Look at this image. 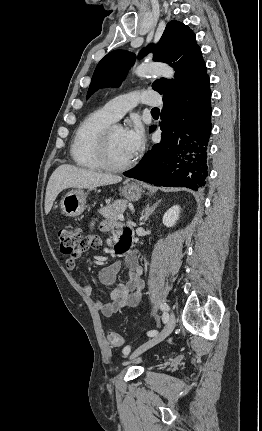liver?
Returning a JSON list of instances; mask_svg holds the SVG:
<instances>
[{"label": "liver", "mask_w": 262, "mask_h": 431, "mask_svg": "<svg viewBox=\"0 0 262 431\" xmlns=\"http://www.w3.org/2000/svg\"><path fill=\"white\" fill-rule=\"evenodd\" d=\"M122 177L98 173L73 165L63 164L52 173L46 188L45 213L48 214L58 194L67 188H95L118 183Z\"/></svg>", "instance_id": "liver-1"}]
</instances>
